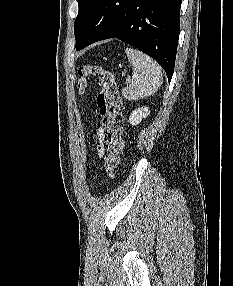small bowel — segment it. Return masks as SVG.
<instances>
[{"label": "small bowel", "instance_id": "c3829d8e", "mask_svg": "<svg viewBox=\"0 0 233 286\" xmlns=\"http://www.w3.org/2000/svg\"><path fill=\"white\" fill-rule=\"evenodd\" d=\"M103 138L104 132L102 129H99L97 132V152L99 156H102L104 154Z\"/></svg>", "mask_w": 233, "mask_h": 286}]
</instances>
